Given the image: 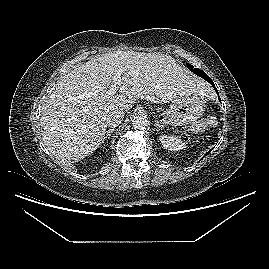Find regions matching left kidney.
<instances>
[{
	"label": "left kidney",
	"instance_id": "obj_1",
	"mask_svg": "<svg viewBox=\"0 0 269 269\" xmlns=\"http://www.w3.org/2000/svg\"><path fill=\"white\" fill-rule=\"evenodd\" d=\"M160 141L163 147L169 151H178L184 149L185 143L181 139L175 136L161 135Z\"/></svg>",
	"mask_w": 269,
	"mask_h": 269
}]
</instances>
